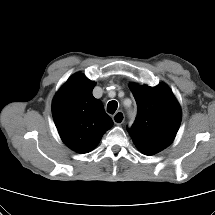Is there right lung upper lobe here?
Instances as JSON below:
<instances>
[{"label": "right lung upper lobe", "mask_w": 215, "mask_h": 215, "mask_svg": "<svg viewBox=\"0 0 215 215\" xmlns=\"http://www.w3.org/2000/svg\"><path fill=\"white\" fill-rule=\"evenodd\" d=\"M94 86L83 74H75L53 100L52 114L59 135L77 153L93 150L113 125L102 102L92 95Z\"/></svg>", "instance_id": "right-lung-upper-lobe-1"}]
</instances>
